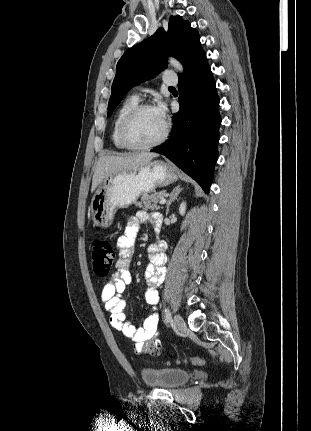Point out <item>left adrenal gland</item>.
<instances>
[{
	"label": "left adrenal gland",
	"mask_w": 311,
	"mask_h": 431,
	"mask_svg": "<svg viewBox=\"0 0 311 431\" xmlns=\"http://www.w3.org/2000/svg\"><path fill=\"white\" fill-rule=\"evenodd\" d=\"M183 188H180V186H177V188H174L173 192H171L168 202L166 204V216L169 214V208L172 204V202H175V200H178V196L180 192H182Z\"/></svg>",
	"instance_id": "left-adrenal-gland-1"
}]
</instances>
